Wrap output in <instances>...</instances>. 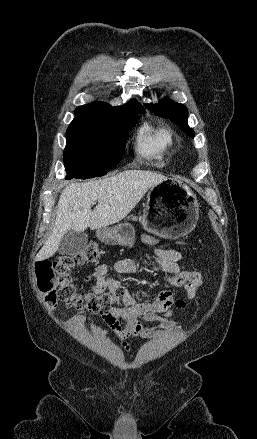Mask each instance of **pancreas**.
I'll return each mask as SVG.
<instances>
[{"instance_id": "cf45deb5", "label": "pancreas", "mask_w": 257, "mask_h": 439, "mask_svg": "<svg viewBox=\"0 0 257 439\" xmlns=\"http://www.w3.org/2000/svg\"><path fill=\"white\" fill-rule=\"evenodd\" d=\"M127 219H128V220H136L137 218L134 217V216H130V217H128Z\"/></svg>"}]
</instances>
